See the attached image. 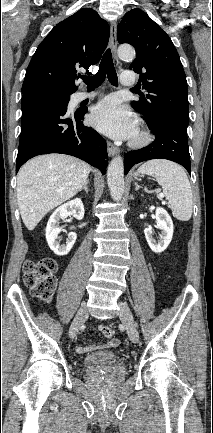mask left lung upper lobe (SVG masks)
Here are the masks:
<instances>
[{
	"instance_id": "5c2ea615",
	"label": "left lung upper lobe",
	"mask_w": 213,
	"mask_h": 433,
	"mask_svg": "<svg viewBox=\"0 0 213 433\" xmlns=\"http://www.w3.org/2000/svg\"><path fill=\"white\" fill-rule=\"evenodd\" d=\"M119 43L136 50L130 69L140 74V94L132 107L149 124L165 117L189 123L188 88L179 54L170 37L140 9L125 14L117 26Z\"/></svg>"
}]
</instances>
